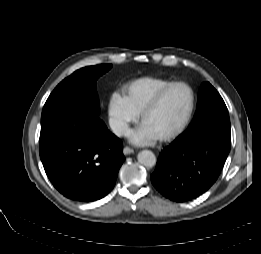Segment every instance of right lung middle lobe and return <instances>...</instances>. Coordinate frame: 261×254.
I'll return each instance as SVG.
<instances>
[{
	"instance_id": "1",
	"label": "right lung middle lobe",
	"mask_w": 261,
	"mask_h": 254,
	"mask_svg": "<svg viewBox=\"0 0 261 254\" xmlns=\"http://www.w3.org/2000/svg\"><path fill=\"white\" fill-rule=\"evenodd\" d=\"M111 67V64H105L85 67L75 71L58 84L44 106L75 103L98 115L100 108L96 92V80Z\"/></svg>"
}]
</instances>
